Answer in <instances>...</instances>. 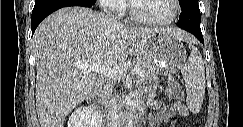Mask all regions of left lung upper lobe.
I'll return each instance as SVG.
<instances>
[{"mask_svg":"<svg viewBox=\"0 0 243 127\" xmlns=\"http://www.w3.org/2000/svg\"><path fill=\"white\" fill-rule=\"evenodd\" d=\"M179 3L181 5V7H183L187 4L198 3V0H179Z\"/></svg>","mask_w":243,"mask_h":127,"instance_id":"obj_1","label":"left lung upper lobe"}]
</instances>
